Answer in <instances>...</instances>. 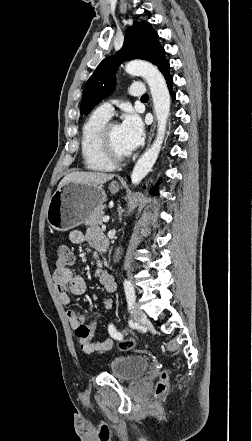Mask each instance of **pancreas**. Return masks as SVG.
I'll return each instance as SVG.
<instances>
[{"mask_svg":"<svg viewBox=\"0 0 252 441\" xmlns=\"http://www.w3.org/2000/svg\"><path fill=\"white\" fill-rule=\"evenodd\" d=\"M105 205H102L96 209L93 214L87 219L86 223L88 225H101L102 224V213L105 209Z\"/></svg>","mask_w":252,"mask_h":441,"instance_id":"1","label":"pancreas"}]
</instances>
